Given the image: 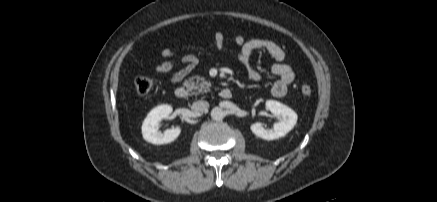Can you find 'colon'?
Instances as JSON below:
<instances>
[{"mask_svg": "<svg viewBox=\"0 0 437 202\" xmlns=\"http://www.w3.org/2000/svg\"><path fill=\"white\" fill-rule=\"evenodd\" d=\"M134 84L136 91L139 94L146 95L152 90L154 86V80L148 76H138L136 77ZM300 92L304 97H308L312 93V88L309 84L304 83L300 87Z\"/></svg>", "mask_w": 437, "mask_h": 202, "instance_id": "5ec220e1", "label": "colon"}]
</instances>
